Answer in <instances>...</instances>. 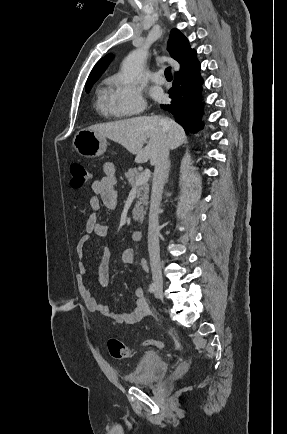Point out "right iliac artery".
Listing matches in <instances>:
<instances>
[{
	"label": "right iliac artery",
	"mask_w": 287,
	"mask_h": 434,
	"mask_svg": "<svg viewBox=\"0 0 287 434\" xmlns=\"http://www.w3.org/2000/svg\"><path fill=\"white\" fill-rule=\"evenodd\" d=\"M155 290H156V286H155V284H154V283L150 284V286H149V292H150V293H154Z\"/></svg>",
	"instance_id": "82829eb1"
}]
</instances>
